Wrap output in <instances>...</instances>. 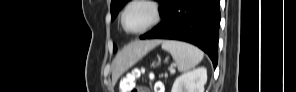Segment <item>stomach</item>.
<instances>
[{"label": "stomach", "mask_w": 296, "mask_h": 92, "mask_svg": "<svg viewBox=\"0 0 296 92\" xmlns=\"http://www.w3.org/2000/svg\"><path fill=\"white\" fill-rule=\"evenodd\" d=\"M160 60L156 63V65L158 66V65H160ZM152 66H155V64H153Z\"/></svg>", "instance_id": "0dacf381"}]
</instances>
